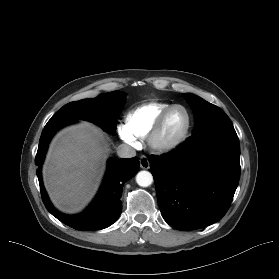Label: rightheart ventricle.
I'll list each match as a JSON object with an SVG mask.
<instances>
[{"label": "right heart ventricle", "mask_w": 279, "mask_h": 279, "mask_svg": "<svg viewBox=\"0 0 279 279\" xmlns=\"http://www.w3.org/2000/svg\"><path fill=\"white\" fill-rule=\"evenodd\" d=\"M172 104L165 101H152L144 103L125 116V126L129 133L138 139L147 137L160 113Z\"/></svg>", "instance_id": "1"}]
</instances>
